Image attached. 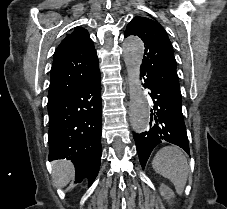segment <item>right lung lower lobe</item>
<instances>
[{
	"label": "right lung lower lobe",
	"mask_w": 227,
	"mask_h": 209,
	"mask_svg": "<svg viewBox=\"0 0 227 209\" xmlns=\"http://www.w3.org/2000/svg\"><path fill=\"white\" fill-rule=\"evenodd\" d=\"M76 74H87L84 82L66 96L48 104L49 161L71 160L76 181L95 180L102 155L101 82L99 66L89 70L75 67Z\"/></svg>",
	"instance_id": "obj_1"
}]
</instances>
